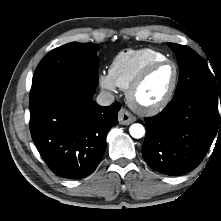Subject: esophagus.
<instances>
[{
	"mask_svg": "<svg viewBox=\"0 0 221 221\" xmlns=\"http://www.w3.org/2000/svg\"><path fill=\"white\" fill-rule=\"evenodd\" d=\"M118 121L122 125H129L136 121V117L132 115L128 110L122 108L118 114Z\"/></svg>",
	"mask_w": 221,
	"mask_h": 221,
	"instance_id": "34e87169",
	"label": "esophagus"
}]
</instances>
